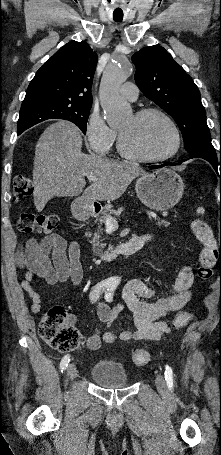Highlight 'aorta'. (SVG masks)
<instances>
[{"instance_id": "762f6f07", "label": "aorta", "mask_w": 221, "mask_h": 455, "mask_svg": "<svg viewBox=\"0 0 221 455\" xmlns=\"http://www.w3.org/2000/svg\"><path fill=\"white\" fill-rule=\"evenodd\" d=\"M127 61H115L105 69L99 89L100 103L109 126L124 122L132 113L130 105L119 95V88L132 74Z\"/></svg>"}]
</instances>
